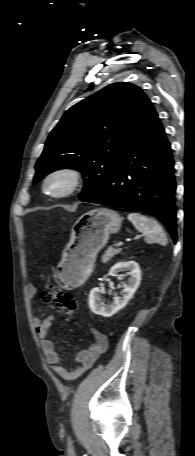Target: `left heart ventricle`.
I'll return each instance as SVG.
<instances>
[{"mask_svg": "<svg viewBox=\"0 0 195 456\" xmlns=\"http://www.w3.org/2000/svg\"><path fill=\"white\" fill-rule=\"evenodd\" d=\"M66 186V180L62 177H57L49 181L48 189L52 192H59Z\"/></svg>", "mask_w": 195, "mask_h": 456, "instance_id": "left-heart-ventricle-1", "label": "left heart ventricle"}]
</instances>
